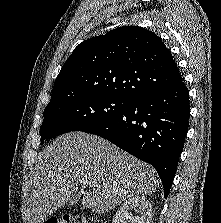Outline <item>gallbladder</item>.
<instances>
[{
	"label": "gallbladder",
	"mask_w": 221,
	"mask_h": 223,
	"mask_svg": "<svg viewBox=\"0 0 221 223\" xmlns=\"http://www.w3.org/2000/svg\"><path fill=\"white\" fill-rule=\"evenodd\" d=\"M79 197L78 196H73L70 200H69V204L70 205H74L78 202Z\"/></svg>",
	"instance_id": "1"
}]
</instances>
